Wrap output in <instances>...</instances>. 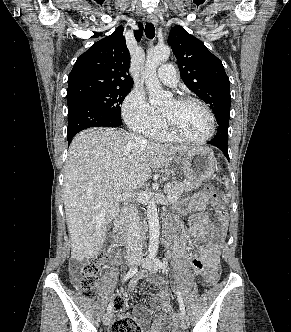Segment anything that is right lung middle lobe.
Masks as SVG:
<instances>
[{"label":"right lung middle lobe","mask_w":291,"mask_h":332,"mask_svg":"<svg viewBox=\"0 0 291 332\" xmlns=\"http://www.w3.org/2000/svg\"><path fill=\"white\" fill-rule=\"evenodd\" d=\"M130 91L131 88H112L88 91L73 97H67V104L70 105L78 99L89 101L110 113L118 123L122 124L120 105Z\"/></svg>","instance_id":"right-lung-middle-lobe-1"}]
</instances>
